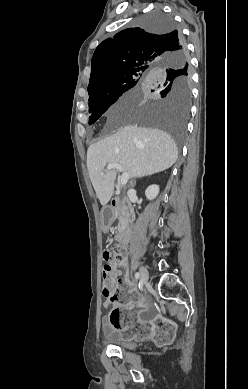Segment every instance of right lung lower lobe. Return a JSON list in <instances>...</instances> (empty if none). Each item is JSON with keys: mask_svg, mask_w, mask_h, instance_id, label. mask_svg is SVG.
Listing matches in <instances>:
<instances>
[{"mask_svg": "<svg viewBox=\"0 0 248 389\" xmlns=\"http://www.w3.org/2000/svg\"><path fill=\"white\" fill-rule=\"evenodd\" d=\"M182 44H183V39H182V36L180 35V36H179L178 48L181 47Z\"/></svg>", "mask_w": 248, "mask_h": 389, "instance_id": "98d812e1", "label": "right lung lower lobe"}]
</instances>
